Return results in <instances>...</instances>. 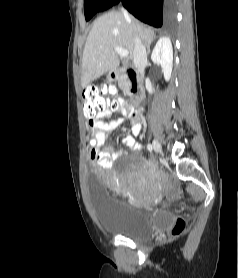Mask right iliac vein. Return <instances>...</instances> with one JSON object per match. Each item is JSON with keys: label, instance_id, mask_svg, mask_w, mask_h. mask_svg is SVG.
Wrapping results in <instances>:
<instances>
[{"label": "right iliac vein", "instance_id": "right-iliac-vein-1", "mask_svg": "<svg viewBox=\"0 0 238 278\" xmlns=\"http://www.w3.org/2000/svg\"><path fill=\"white\" fill-rule=\"evenodd\" d=\"M153 145V149L157 152V153H162V147L160 142L157 139H154L152 142Z\"/></svg>", "mask_w": 238, "mask_h": 278}]
</instances>
